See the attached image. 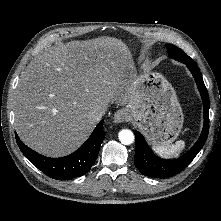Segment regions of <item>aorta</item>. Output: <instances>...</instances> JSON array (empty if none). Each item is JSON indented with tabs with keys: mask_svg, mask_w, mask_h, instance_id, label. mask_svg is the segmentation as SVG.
I'll use <instances>...</instances> for the list:
<instances>
[{
	"mask_svg": "<svg viewBox=\"0 0 221 221\" xmlns=\"http://www.w3.org/2000/svg\"><path fill=\"white\" fill-rule=\"evenodd\" d=\"M119 140L122 144L129 145L134 141V134L130 130L123 129L119 132Z\"/></svg>",
	"mask_w": 221,
	"mask_h": 221,
	"instance_id": "obj_1",
	"label": "aorta"
}]
</instances>
